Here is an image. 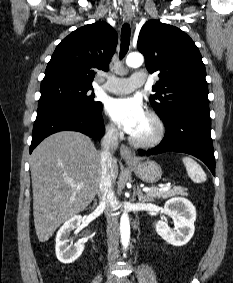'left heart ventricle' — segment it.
<instances>
[{
  "mask_svg": "<svg viewBox=\"0 0 233 283\" xmlns=\"http://www.w3.org/2000/svg\"><path fill=\"white\" fill-rule=\"evenodd\" d=\"M154 133L155 124L147 115H145L144 119L132 135L140 139H147L150 138Z\"/></svg>",
  "mask_w": 233,
  "mask_h": 283,
  "instance_id": "b2bd125f",
  "label": "left heart ventricle"
}]
</instances>
